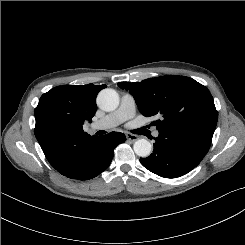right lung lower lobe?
<instances>
[{"label":"right lung lower lobe","instance_id":"right-lung-lower-lobe-1","mask_svg":"<svg viewBox=\"0 0 245 245\" xmlns=\"http://www.w3.org/2000/svg\"><path fill=\"white\" fill-rule=\"evenodd\" d=\"M125 141V135L119 132L95 136L70 149L64 162L54 168L71 179H92L108 168L114 148Z\"/></svg>","mask_w":245,"mask_h":245}]
</instances>
